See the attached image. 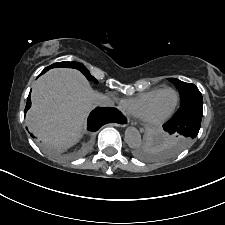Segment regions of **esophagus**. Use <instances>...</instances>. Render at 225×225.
<instances>
[{"label": "esophagus", "instance_id": "esophagus-1", "mask_svg": "<svg viewBox=\"0 0 225 225\" xmlns=\"http://www.w3.org/2000/svg\"><path fill=\"white\" fill-rule=\"evenodd\" d=\"M129 118L128 116L122 112V120L119 124H117V126H120V127H126L128 124H129Z\"/></svg>", "mask_w": 225, "mask_h": 225}]
</instances>
